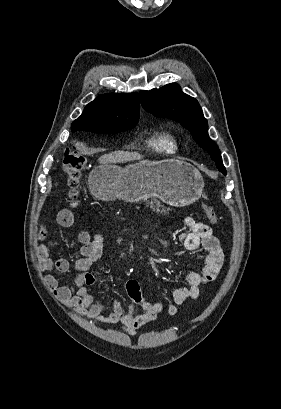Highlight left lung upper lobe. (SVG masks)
I'll return each mask as SVG.
<instances>
[{
  "label": "left lung upper lobe",
  "instance_id": "obj_1",
  "mask_svg": "<svg viewBox=\"0 0 281 409\" xmlns=\"http://www.w3.org/2000/svg\"><path fill=\"white\" fill-rule=\"evenodd\" d=\"M139 95L146 111L158 117L173 119L187 128L193 139L216 162L219 171L226 175L220 150L209 138L207 120L195 98L184 94L176 83L165 85L160 89L140 91Z\"/></svg>",
  "mask_w": 281,
  "mask_h": 409
}]
</instances>
